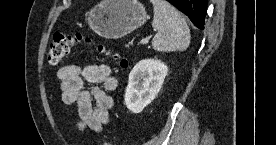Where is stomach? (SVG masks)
Segmentation results:
<instances>
[{
	"instance_id": "0dacf381",
	"label": "stomach",
	"mask_w": 276,
	"mask_h": 145,
	"mask_svg": "<svg viewBox=\"0 0 276 145\" xmlns=\"http://www.w3.org/2000/svg\"><path fill=\"white\" fill-rule=\"evenodd\" d=\"M148 18L137 0H103L90 10V28L101 37L118 39L142 26Z\"/></svg>"
}]
</instances>
